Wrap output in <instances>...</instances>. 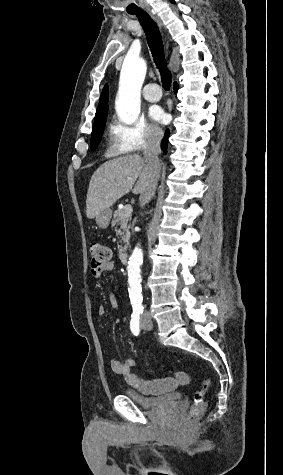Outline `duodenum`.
<instances>
[{"mask_svg": "<svg viewBox=\"0 0 283 475\" xmlns=\"http://www.w3.org/2000/svg\"><path fill=\"white\" fill-rule=\"evenodd\" d=\"M128 259H129L128 253L122 252V253L120 254V260H121V262H122L123 264H126V263L128 262Z\"/></svg>", "mask_w": 283, "mask_h": 475, "instance_id": "1", "label": "duodenum"}]
</instances>
